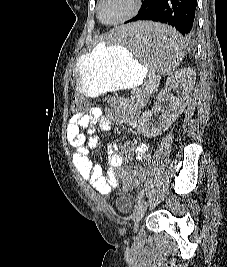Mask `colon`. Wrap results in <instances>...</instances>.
<instances>
[{"instance_id":"obj_1","label":"colon","mask_w":227,"mask_h":267,"mask_svg":"<svg viewBox=\"0 0 227 267\" xmlns=\"http://www.w3.org/2000/svg\"><path fill=\"white\" fill-rule=\"evenodd\" d=\"M85 106V101L83 98H74L71 110H69V115H80L83 112V107ZM125 192H136V187H125Z\"/></svg>"}]
</instances>
